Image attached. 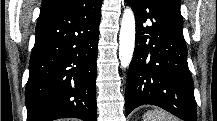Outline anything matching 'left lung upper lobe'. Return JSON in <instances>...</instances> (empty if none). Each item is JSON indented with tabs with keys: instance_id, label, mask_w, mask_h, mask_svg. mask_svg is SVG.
Instances as JSON below:
<instances>
[{
	"instance_id": "5c2ea615",
	"label": "left lung upper lobe",
	"mask_w": 217,
	"mask_h": 121,
	"mask_svg": "<svg viewBox=\"0 0 217 121\" xmlns=\"http://www.w3.org/2000/svg\"><path fill=\"white\" fill-rule=\"evenodd\" d=\"M173 2H175L177 5H179L180 6V4H181V1L180 0H172Z\"/></svg>"
}]
</instances>
